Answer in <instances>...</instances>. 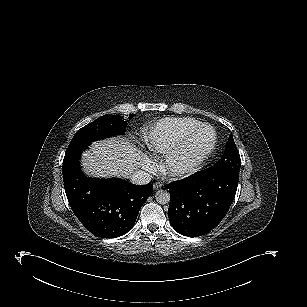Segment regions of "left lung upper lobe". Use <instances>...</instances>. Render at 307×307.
<instances>
[{
	"label": "left lung upper lobe",
	"instance_id": "5c2ea615",
	"mask_svg": "<svg viewBox=\"0 0 307 307\" xmlns=\"http://www.w3.org/2000/svg\"><path fill=\"white\" fill-rule=\"evenodd\" d=\"M240 166L241 159L239 151L237 150L233 136H230L222 158L213 166L209 167V169L213 172L229 170L239 174Z\"/></svg>",
	"mask_w": 307,
	"mask_h": 307
}]
</instances>
